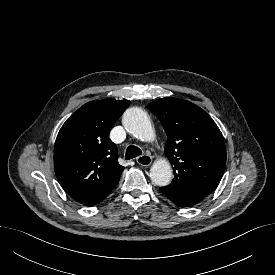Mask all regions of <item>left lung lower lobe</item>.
Returning a JSON list of instances; mask_svg holds the SVG:
<instances>
[{
	"mask_svg": "<svg viewBox=\"0 0 275 275\" xmlns=\"http://www.w3.org/2000/svg\"><path fill=\"white\" fill-rule=\"evenodd\" d=\"M161 192L167 196L174 204L180 207H189L203 200L206 196L198 191L190 190L185 192H170L164 187L160 188Z\"/></svg>",
	"mask_w": 275,
	"mask_h": 275,
	"instance_id": "left-lung-lower-lobe-1",
	"label": "left lung lower lobe"
}]
</instances>
